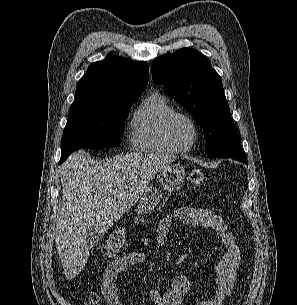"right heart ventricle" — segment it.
I'll list each match as a JSON object with an SVG mask.
<instances>
[{
  "label": "right heart ventricle",
  "mask_w": 297,
  "mask_h": 305,
  "mask_svg": "<svg viewBox=\"0 0 297 305\" xmlns=\"http://www.w3.org/2000/svg\"><path fill=\"white\" fill-rule=\"evenodd\" d=\"M175 108L169 99L153 93L133 113L129 135L132 150L146 153H174L163 134V123Z\"/></svg>",
  "instance_id": "1"
}]
</instances>
